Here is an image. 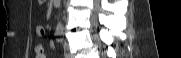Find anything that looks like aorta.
<instances>
[{"mask_svg":"<svg viewBox=\"0 0 181 58\" xmlns=\"http://www.w3.org/2000/svg\"><path fill=\"white\" fill-rule=\"evenodd\" d=\"M64 27L62 22L58 21L57 26H56V32H63Z\"/></svg>","mask_w":181,"mask_h":58,"instance_id":"aorta-1","label":"aorta"}]
</instances>
